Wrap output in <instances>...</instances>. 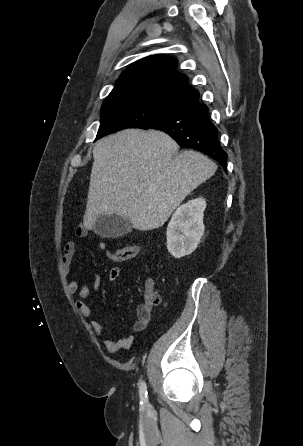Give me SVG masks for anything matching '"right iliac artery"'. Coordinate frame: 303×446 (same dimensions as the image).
<instances>
[{
    "instance_id": "82829eb1",
    "label": "right iliac artery",
    "mask_w": 303,
    "mask_h": 446,
    "mask_svg": "<svg viewBox=\"0 0 303 446\" xmlns=\"http://www.w3.org/2000/svg\"><path fill=\"white\" fill-rule=\"evenodd\" d=\"M141 404L148 402V396H147V387L145 382H141L140 389H139Z\"/></svg>"
}]
</instances>
